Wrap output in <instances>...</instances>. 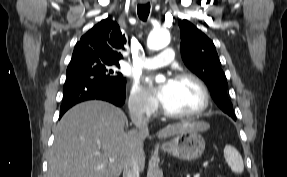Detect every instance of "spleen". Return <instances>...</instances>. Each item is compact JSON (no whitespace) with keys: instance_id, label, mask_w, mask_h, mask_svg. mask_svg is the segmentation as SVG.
<instances>
[{"instance_id":"obj_1","label":"spleen","mask_w":287,"mask_h":177,"mask_svg":"<svg viewBox=\"0 0 287 177\" xmlns=\"http://www.w3.org/2000/svg\"><path fill=\"white\" fill-rule=\"evenodd\" d=\"M224 157L234 173L241 174L244 171V164L238 150L231 145L224 148Z\"/></svg>"}]
</instances>
